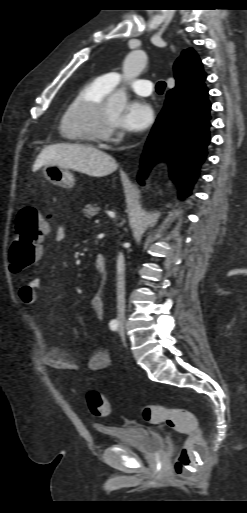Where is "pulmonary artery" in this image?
<instances>
[{
	"mask_svg": "<svg viewBox=\"0 0 247 513\" xmlns=\"http://www.w3.org/2000/svg\"><path fill=\"white\" fill-rule=\"evenodd\" d=\"M103 85L113 89L121 81V75L118 72H110L97 78ZM134 92L142 96H148L152 93L153 84L149 80L137 79L131 83Z\"/></svg>",
	"mask_w": 247,
	"mask_h": 513,
	"instance_id": "pulmonary-artery-1",
	"label": "pulmonary artery"
}]
</instances>
